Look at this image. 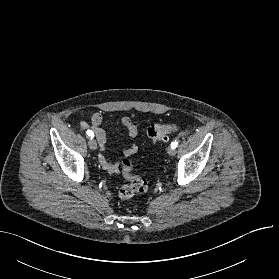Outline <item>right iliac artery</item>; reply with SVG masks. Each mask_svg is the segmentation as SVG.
<instances>
[{
  "label": "right iliac artery",
  "instance_id": "82829eb1",
  "mask_svg": "<svg viewBox=\"0 0 279 279\" xmlns=\"http://www.w3.org/2000/svg\"><path fill=\"white\" fill-rule=\"evenodd\" d=\"M87 135L89 136V137H94V133L91 131V130H87Z\"/></svg>",
  "mask_w": 279,
  "mask_h": 279
}]
</instances>
